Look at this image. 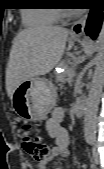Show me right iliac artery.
<instances>
[{
    "instance_id": "right-iliac-artery-1",
    "label": "right iliac artery",
    "mask_w": 104,
    "mask_h": 169,
    "mask_svg": "<svg viewBox=\"0 0 104 169\" xmlns=\"http://www.w3.org/2000/svg\"><path fill=\"white\" fill-rule=\"evenodd\" d=\"M89 143H90V144H92V143H93V141H89Z\"/></svg>"
}]
</instances>
